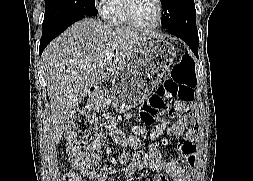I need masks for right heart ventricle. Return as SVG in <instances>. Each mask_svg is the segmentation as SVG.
Segmentation results:
<instances>
[{
	"mask_svg": "<svg viewBox=\"0 0 253 181\" xmlns=\"http://www.w3.org/2000/svg\"><path fill=\"white\" fill-rule=\"evenodd\" d=\"M104 18L113 25H128L129 23L123 10V0H109L105 8Z\"/></svg>",
	"mask_w": 253,
	"mask_h": 181,
	"instance_id": "1",
	"label": "right heart ventricle"
}]
</instances>
